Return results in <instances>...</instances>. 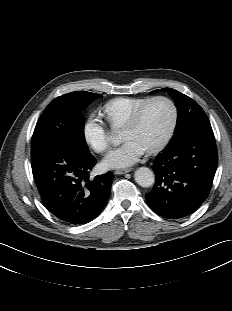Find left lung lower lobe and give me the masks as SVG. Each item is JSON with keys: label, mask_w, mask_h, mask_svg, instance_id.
Masks as SVG:
<instances>
[{"label": "left lung lower lobe", "mask_w": 232, "mask_h": 311, "mask_svg": "<svg viewBox=\"0 0 232 311\" xmlns=\"http://www.w3.org/2000/svg\"><path fill=\"white\" fill-rule=\"evenodd\" d=\"M218 155L209 122L181 134L156 157V181L146 194L148 206L167 219L195 211L207 198L217 168Z\"/></svg>", "instance_id": "left-lung-lower-lobe-1"}]
</instances>
